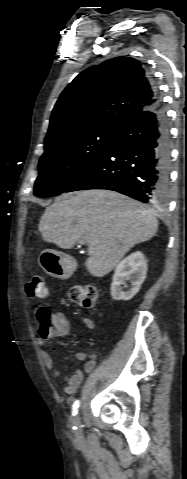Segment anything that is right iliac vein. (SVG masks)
<instances>
[{"instance_id":"obj_1","label":"right iliac vein","mask_w":187,"mask_h":479,"mask_svg":"<svg viewBox=\"0 0 187 479\" xmlns=\"http://www.w3.org/2000/svg\"><path fill=\"white\" fill-rule=\"evenodd\" d=\"M80 420H81L80 413H78L77 416L75 417V424L77 427L80 426Z\"/></svg>"}]
</instances>
